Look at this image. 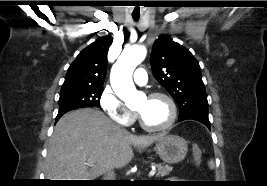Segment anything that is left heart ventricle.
Returning <instances> with one entry per match:
<instances>
[{
    "mask_svg": "<svg viewBox=\"0 0 267 186\" xmlns=\"http://www.w3.org/2000/svg\"><path fill=\"white\" fill-rule=\"evenodd\" d=\"M135 111L141 115L147 125L152 127L162 126L170 116V107L163 98L144 97Z\"/></svg>",
    "mask_w": 267,
    "mask_h": 186,
    "instance_id": "1",
    "label": "left heart ventricle"
}]
</instances>
